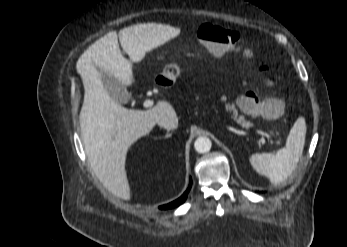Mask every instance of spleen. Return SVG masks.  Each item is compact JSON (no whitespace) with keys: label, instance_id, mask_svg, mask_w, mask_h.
<instances>
[{"label":"spleen","instance_id":"1","mask_svg":"<svg viewBox=\"0 0 347 247\" xmlns=\"http://www.w3.org/2000/svg\"><path fill=\"white\" fill-rule=\"evenodd\" d=\"M306 137V123L303 117L296 120L287 137L286 146L272 153H256L250 157V163L259 173L277 185L293 173L302 156Z\"/></svg>","mask_w":347,"mask_h":247}]
</instances>
